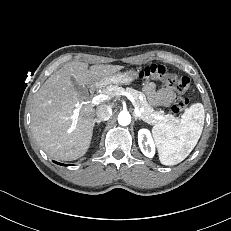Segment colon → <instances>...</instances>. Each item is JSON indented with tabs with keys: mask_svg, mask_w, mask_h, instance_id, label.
<instances>
[{
	"mask_svg": "<svg viewBox=\"0 0 231 231\" xmlns=\"http://www.w3.org/2000/svg\"><path fill=\"white\" fill-rule=\"evenodd\" d=\"M141 78L161 80L178 93H185L190 86L188 77H180L175 72L170 71L165 65L152 64L140 71ZM188 105V100L184 97H177L172 105V112L178 114Z\"/></svg>",
	"mask_w": 231,
	"mask_h": 231,
	"instance_id": "obj_1",
	"label": "colon"
}]
</instances>
